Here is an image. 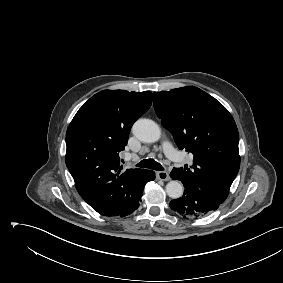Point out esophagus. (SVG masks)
Listing matches in <instances>:
<instances>
[{"label": "esophagus", "instance_id": "34e87169", "mask_svg": "<svg viewBox=\"0 0 283 283\" xmlns=\"http://www.w3.org/2000/svg\"><path fill=\"white\" fill-rule=\"evenodd\" d=\"M157 178L163 181H169L170 180V176L169 173L166 171H159L156 174Z\"/></svg>", "mask_w": 283, "mask_h": 283}]
</instances>
